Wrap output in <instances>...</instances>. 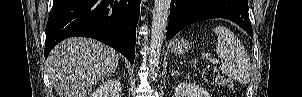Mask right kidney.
<instances>
[{"mask_svg": "<svg viewBox=\"0 0 302 97\" xmlns=\"http://www.w3.org/2000/svg\"><path fill=\"white\" fill-rule=\"evenodd\" d=\"M121 83L117 79H108L105 81L96 91H94L91 97H107L111 94L112 97H120Z\"/></svg>", "mask_w": 302, "mask_h": 97, "instance_id": "obj_1", "label": "right kidney"}]
</instances>
